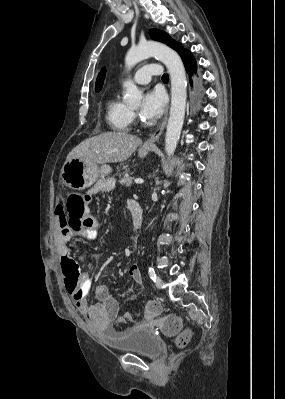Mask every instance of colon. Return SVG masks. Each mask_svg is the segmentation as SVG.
Listing matches in <instances>:
<instances>
[{"instance_id":"1","label":"colon","mask_w":285,"mask_h":399,"mask_svg":"<svg viewBox=\"0 0 285 399\" xmlns=\"http://www.w3.org/2000/svg\"><path fill=\"white\" fill-rule=\"evenodd\" d=\"M90 198H77L74 195H68L61 202V224L67 225L73 236L85 235L91 227V219L87 214L86 205ZM61 271L65 279L66 287L70 295L76 299L81 296V269L78 262L73 257H63L60 262ZM162 308L159 302L151 300L145 307V314L153 319L161 315ZM138 311H129L117 318L118 324L127 321H133V316ZM161 329L167 336L176 337V342L182 344L188 341L192 333L189 330H183L181 323L174 317H163L159 320Z\"/></svg>"}]
</instances>
